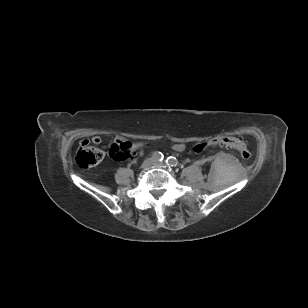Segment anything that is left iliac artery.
I'll use <instances>...</instances> for the list:
<instances>
[{
    "label": "left iliac artery",
    "instance_id": "1",
    "mask_svg": "<svg viewBox=\"0 0 308 308\" xmlns=\"http://www.w3.org/2000/svg\"><path fill=\"white\" fill-rule=\"evenodd\" d=\"M166 163H167V165L172 166V167H176L179 164L178 160L175 157H172V156H170L166 159Z\"/></svg>",
    "mask_w": 308,
    "mask_h": 308
}]
</instances>
